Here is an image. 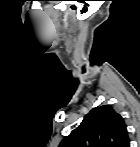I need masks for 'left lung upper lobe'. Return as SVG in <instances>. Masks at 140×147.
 Segmentation results:
<instances>
[{
  "label": "left lung upper lobe",
  "instance_id": "left-lung-upper-lobe-1",
  "mask_svg": "<svg viewBox=\"0 0 140 147\" xmlns=\"http://www.w3.org/2000/svg\"><path fill=\"white\" fill-rule=\"evenodd\" d=\"M124 119L113 107L93 108L60 147H129Z\"/></svg>",
  "mask_w": 140,
  "mask_h": 147
}]
</instances>
